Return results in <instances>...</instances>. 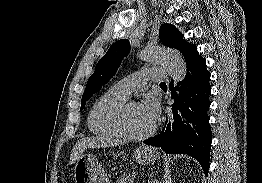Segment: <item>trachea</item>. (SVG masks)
Returning a JSON list of instances; mask_svg holds the SVG:
<instances>
[{
    "label": "trachea",
    "instance_id": "3493384b",
    "mask_svg": "<svg viewBox=\"0 0 262 183\" xmlns=\"http://www.w3.org/2000/svg\"><path fill=\"white\" fill-rule=\"evenodd\" d=\"M160 85H166V83L165 82H161Z\"/></svg>",
    "mask_w": 262,
    "mask_h": 183
}]
</instances>
